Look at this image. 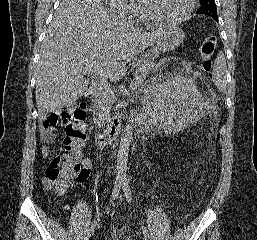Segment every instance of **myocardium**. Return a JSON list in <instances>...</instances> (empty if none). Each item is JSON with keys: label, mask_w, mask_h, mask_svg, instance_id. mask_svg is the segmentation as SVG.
Wrapping results in <instances>:
<instances>
[{"label": "myocardium", "mask_w": 257, "mask_h": 240, "mask_svg": "<svg viewBox=\"0 0 257 240\" xmlns=\"http://www.w3.org/2000/svg\"><path fill=\"white\" fill-rule=\"evenodd\" d=\"M144 1H145L146 10H147L149 17L155 23H158V24H167V25L180 24L190 17V15L192 14L194 7H195L194 0H187V7L181 15L174 17V18H165V17L160 16L154 10L153 5H152V0H144Z\"/></svg>", "instance_id": "f54148a6"}]
</instances>
